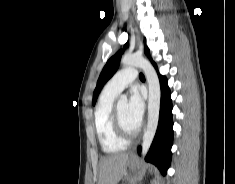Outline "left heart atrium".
Masks as SVG:
<instances>
[{"label": "left heart atrium", "mask_w": 235, "mask_h": 184, "mask_svg": "<svg viewBox=\"0 0 235 184\" xmlns=\"http://www.w3.org/2000/svg\"><path fill=\"white\" fill-rule=\"evenodd\" d=\"M128 114L131 121L140 127L144 115V101L137 89H133L130 93V100L128 103Z\"/></svg>", "instance_id": "39dd6f15"}]
</instances>
